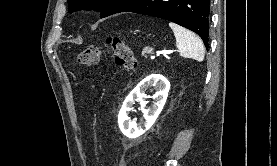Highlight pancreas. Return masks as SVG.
I'll use <instances>...</instances> for the list:
<instances>
[{
	"label": "pancreas",
	"mask_w": 277,
	"mask_h": 166,
	"mask_svg": "<svg viewBox=\"0 0 277 166\" xmlns=\"http://www.w3.org/2000/svg\"><path fill=\"white\" fill-rule=\"evenodd\" d=\"M152 51H153V48L145 47V48L143 49V51H142V55H143L144 57H146L147 54L152 53Z\"/></svg>",
	"instance_id": "cf45deb5"
}]
</instances>
